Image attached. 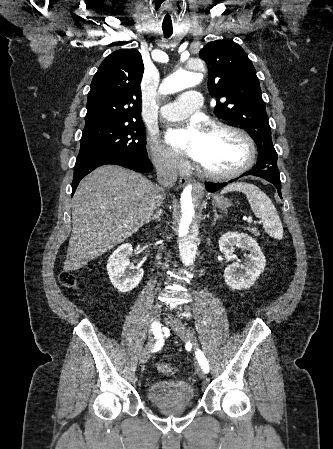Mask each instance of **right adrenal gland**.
<instances>
[{
	"label": "right adrenal gland",
	"mask_w": 333,
	"mask_h": 449,
	"mask_svg": "<svg viewBox=\"0 0 333 449\" xmlns=\"http://www.w3.org/2000/svg\"><path fill=\"white\" fill-rule=\"evenodd\" d=\"M161 215H162V211L161 210L157 211L156 214L152 218H150L149 220L146 221V224L151 221L161 222Z\"/></svg>",
	"instance_id": "2a0ac1e0"
}]
</instances>
